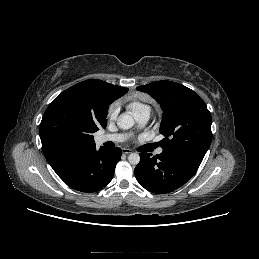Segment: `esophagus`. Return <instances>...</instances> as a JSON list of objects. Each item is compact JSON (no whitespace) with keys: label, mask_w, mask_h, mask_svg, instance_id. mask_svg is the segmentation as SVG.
Returning <instances> with one entry per match:
<instances>
[{"label":"esophagus","mask_w":259,"mask_h":259,"mask_svg":"<svg viewBox=\"0 0 259 259\" xmlns=\"http://www.w3.org/2000/svg\"><path fill=\"white\" fill-rule=\"evenodd\" d=\"M122 153L128 155V154H131V153H132V150H131V149H127V148H123V149H122Z\"/></svg>","instance_id":"obj_1"}]
</instances>
